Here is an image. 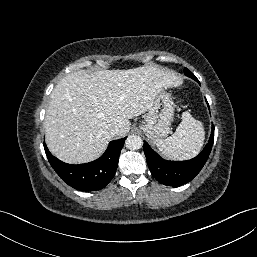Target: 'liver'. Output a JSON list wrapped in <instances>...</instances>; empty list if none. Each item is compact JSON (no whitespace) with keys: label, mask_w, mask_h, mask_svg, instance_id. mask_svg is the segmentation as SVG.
<instances>
[{"label":"liver","mask_w":257,"mask_h":257,"mask_svg":"<svg viewBox=\"0 0 257 257\" xmlns=\"http://www.w3.org/2000/svg\"><path fill=\"white\" fill-rule=\"evenodd\" d=\"M175 72L157 66L128 70H79L53 89L44 120L50 152L63 162L86 163L98 158L118 128L122 137L129 119L149 110L154 97L181 84Z\"/></svg>","instance_id":"obj_1"}]
</instances>
